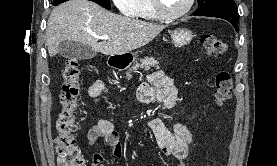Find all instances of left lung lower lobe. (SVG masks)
Returning <instances> with one entry per match:
<instances>
[{
    "label": "left lung lower lobe",
    "mask_w": 277,
    "mask_h": 166,
    "mask_svg": "<svg viewBox=\"0 0 277 166\" xmlns=\"http://www.w3.org/2000/svg\"><path fill=\"white\" fill-rule=\"evenodd\" d=\"M225 20L229 21L234 26V28L236 29L237 32L239 31V28L237 26V22H235L233 20H230V19H225Z\"/></svg>",
    "instance_id": "obj_1"
}]
</instances>
